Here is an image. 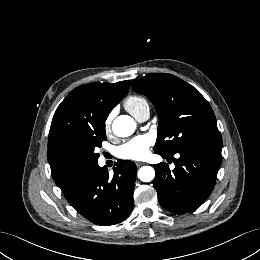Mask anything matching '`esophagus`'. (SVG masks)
I'll list each match as a JSON object with an SVG mask.
<instances>
[{
    "mask_svg": "<svg viewBox=\"0 0 260 260\" xmlns=\"http://www.w3.org/2000/svg\"><path fill=\"white\" fill-rule=\"evenodd\" d=\"M143 164H144L143 162H136L137 167H140V166H142Z\"/></svg>",
    "mask_w": 260,
    "mask_h": 260,
    "instance_id": "1",
    "label": "esophagus"
}]
</instances>
